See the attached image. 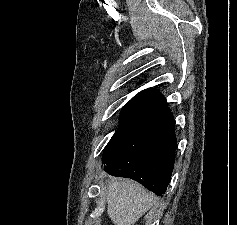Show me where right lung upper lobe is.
Listing matches in <instances>:
<instances>
[{"label":"right lung upper lobe","mask_w":237,"mask_h":225,"mask_svg":"<svg viewBox=\"0 0 237 225\" xmlns=\"http://www.w3.org/2000/svg\"><path fill=\"white\" fill-rule=\"evenodd\" d=\"M163 103H165V98L158 90L151 88L143 90L122 108L120 123L125 124Z\"/></svg>","instance_id":"1"}]
</instances>
